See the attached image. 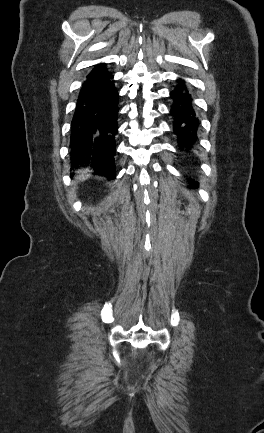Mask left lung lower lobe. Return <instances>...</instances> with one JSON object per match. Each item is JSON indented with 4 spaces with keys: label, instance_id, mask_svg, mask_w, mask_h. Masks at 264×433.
<instances>
[{
    "label": "left lung lower lobe",
    "instance_id": "0a47b994",
    "mask_svg": "<svg viewBox=\"0 0 264 433\" xmlns=\"http://www.w3.org/2000/svg\"><path fill=\"white\" fill-rule=\"evenodd\" d=\"M177 83L178 85L170 93L174 101L171 108V114L175 118L173 128L178 136L180 146L191 148L197 139L199 120L193 109L192 98L185 81L177 79ZM189 180L191 181V179Z\"/></svg>",
    "mask_w": 264,
    "mask_h": 433
}]
</instances>
